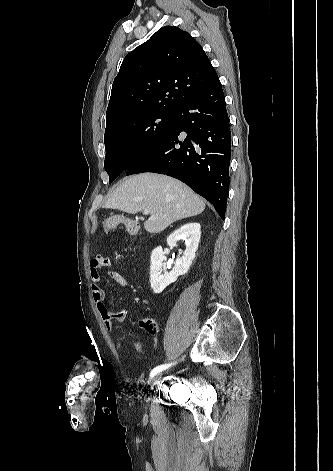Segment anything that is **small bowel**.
<instances>
[{
  "mask_svg": "<svg viewBox=\"0 0 333 471\" xmlns=\"http://www.w3.org/2000/svg\"><path fill=\"white\" fill-rule=\"evenodd\" d=\"M112 264V259L107 256L98 255L92 257L89 262V273L91 278V292L95 305L97 306L98 312L103 320L106 330L111 331L115 321H122L128 315V308L124 307L120 311H110L104 302V291L100 286V269L108 267ZM108 276L122 287L128 286L127 278L119 271L112 270L107 272ZM118 349H122L120 342L116 343Z\"/></svg>",
  "mask_w": 333,
  "mask_h": 471,
  "instance_id": "small-bowel-1",
  "label": "small bowel"
}]
</instances>
